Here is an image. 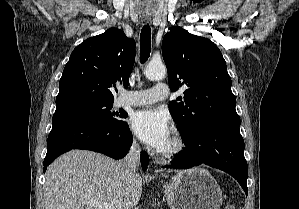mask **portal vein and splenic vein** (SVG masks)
<instances>
[{"mask_svg": "<svg viewBox=\"0 0 299 209\" xmlns=\"http://www.w3.org/2000/svg\"><path fill=\"white\" fill-rule=\"evenodd\" d=\"M89 205L94 206L95 209H114L112 204H109L107 202H100L96 200L90 201Z\"/></svg>", "mask_w": 299, "mask_h": 209, "instance_id": "18ae733b", "label": "portal vein and splenic vein"}]
</instances>
